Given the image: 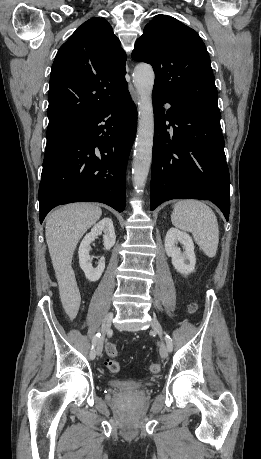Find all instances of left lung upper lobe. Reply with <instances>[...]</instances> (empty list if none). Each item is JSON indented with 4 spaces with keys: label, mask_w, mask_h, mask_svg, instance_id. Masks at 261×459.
<instances>
[{
    "label": "left lung upper lobe",
    "mask_w": 261,
    "mask_h": 459,
    "mask_svg": "<svg viewBox=\"0 0 261 459\" xmlns=\"http://www.w3.org/2000/svg\"><path fill=\"white\" fill-rule=\"evenodd\" d=\"M132 58L153 66V92L179 105L219 112L208 52L190 27L167 15L154 16L136 41Z\"/></svg>",
    "instance_id": "5c2ea615"
}]
</instances>
